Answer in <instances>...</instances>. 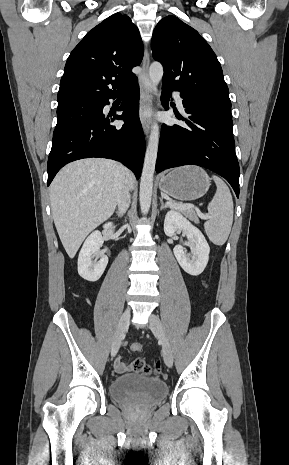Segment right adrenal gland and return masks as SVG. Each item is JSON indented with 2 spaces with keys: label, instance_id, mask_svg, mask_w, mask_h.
I'll use <instances>...</instances> for the list:
<instances>
[{
  "label": "right adrenal gland",
  "instance_id": "obj_1",
  "mask_svg": "<svg viewBox=\"0 0 289 465\" xmlns=\"http://www.w3.org/2000/svg\"><path fill=\"white\" fill-rule=\"evenodd\" d=\"M116 215H117L118 217H121V216H122L118 211H116Z\"/></svg>",
  "mask_w": 289,
  "mask_h": 465
}]
</instances>
